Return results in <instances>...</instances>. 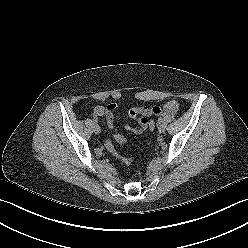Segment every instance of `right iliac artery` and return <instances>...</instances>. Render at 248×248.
<instances>
[{"instance_id": "82829eb1", "label": "right iliac artery", "mask_w": 248, "mask_h": 248, "mask_svg": "<svg viewBox=\"0 0 248 248\" xmlns=\"http://www.w3.org/2000/svg\"><path fill=\"white\" fill-rule=\"evenodd\" d=\"M92 122L95 124L97 123L98 121L96 119H93Z\"/></svg>"}]
</instances>
